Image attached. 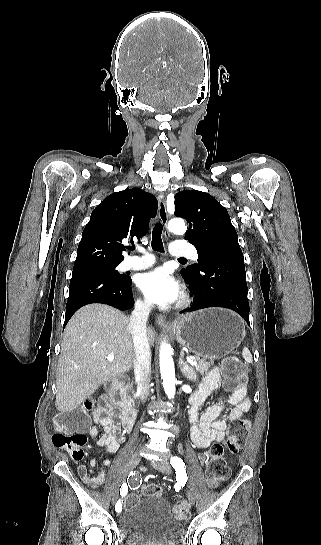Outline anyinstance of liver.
<instances>
[{"label": "liver", "mask_w": 321, "mask_h": 545, "mask_svg": "<svg viewBox=\"0 0 321 545\" xmlns=\"http://www.w3.org/2000/svg\"><path fill=\"white\" fill-rule=\"evenodd\" d=\"M154 343L151 329L146 331ZM114 355V361H107ZM134 363L130 319L108 305H86L70 319L61 343L56 379V409L73 411L102 383L130 371Z\"/></svg>", "instance_id": "obj_1"}]
</instances>
